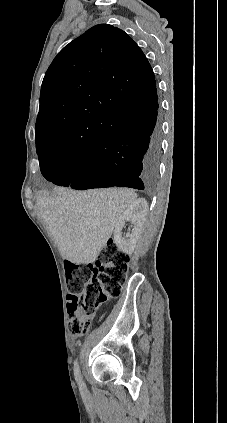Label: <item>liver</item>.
I'll list each match as a JSON object with an SVG mask.
<instances>
[{
  "mask_svg": "<svg viewBox=\"0 0 227 423\" xmlns=\"http://www.w3.org/2000/svg\"><path fill=\"white\" fill-rule=\"evenodd\" d=\"M137 194L126 188H100L75 192L55 188L40 194L37 208L62 257L72 263H93L113 233L115 223Z\"/></svg>",
  "mask_w": 227,
  "mask_h": 423,
  "instance_id": "1",
  "label": "liver"
}]
</instances>
